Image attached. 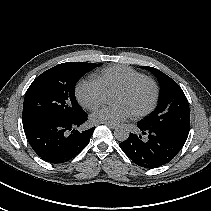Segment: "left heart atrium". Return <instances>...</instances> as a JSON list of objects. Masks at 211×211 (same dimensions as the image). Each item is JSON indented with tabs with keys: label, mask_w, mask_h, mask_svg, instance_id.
<instances>
[{
	"label": "left heart atrium",
	"mask_w": 211,
	"mask_h": 211,
	"mask_svg": "<svg viewBox=\"0 0 211 211\" xmlns=\"http://www.w3.org/2000/svg\"><path fill=\"white\" fill-rule=\"evenodd\" d=\"M131 109L122 103L114 105H102L91 114V120L99 123H119L132 116Z\"/></svg>",
	"instance_id": "39dd6f15"
}]
</instances>
